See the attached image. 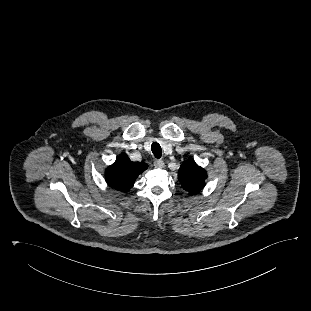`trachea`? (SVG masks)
<instances>
[{
  "instance_id": "obj_1",
  "label": "trachea",
  "mask_w": 311,
  "mask_h": 311,
  "mask_svg": "<svg viewBox=\"0 0 311 311\" xmlns=\"http://www.w3.org/2000/svg\"><path fill=\"white\" fill-rule=\"evenodd\" d=\"M151 150L154 154V156L156 158H161L162 156V150H161V146L157 143V142H154L152 145H151Z\"/></svg>"
}]
</instances>
